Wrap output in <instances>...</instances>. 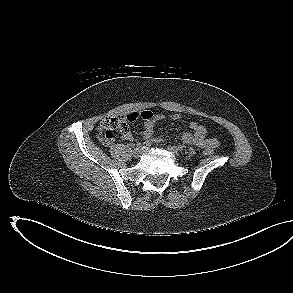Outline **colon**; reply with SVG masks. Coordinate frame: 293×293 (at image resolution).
<instances>
[{"label": "colon", "mask_w": 293, "mask_h": 293, "mask_svg": "<svg viewBox=\"0 0 293 293\" xmlns=\"http://www.w3.org/2000/svg\"><path fill=\"white\" fill-rule=\"evenodd\" d=\"M129 120L125 117H111L103 120L97 130V137L103 143H109L116 133L129 131ZM207 155L213 153L212 148L205 149Z\"/></svg>", "instance_id": "colon-1"}]
</instances>
